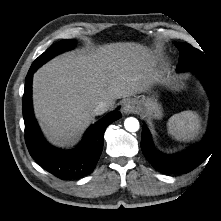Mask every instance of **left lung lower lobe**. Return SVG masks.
Wrapping results in <instances>:
<instances>
[{
    "mask_svg": "<svg viewBox=\"0 0 221 221\" xmlns=\"http://www.w3.org/2000/svg\"><path fill=\"white\" fill-rule=\"evenodd\" d=\"M196 72V71H195ZM211 99L209 126L203 141L196 147L176 155H164L154 149L146 126L142 128L141 149L151 165L161 173H188L211 154L221 141V84L206 72H196Z\"/></svg>",
    "mask_w": 221,
    "mask_h": 221,
    "instance_id": "obj_1",
    "label": "left lung lower lobe"
}]
</instances>
